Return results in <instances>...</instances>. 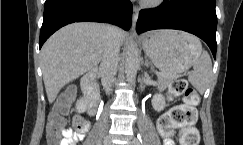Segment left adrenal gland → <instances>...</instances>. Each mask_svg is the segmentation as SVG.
Instances as JSON below:
<instances>
[{"mask_svg": "<svg viewBox=\"0 0 243 145\" xmlns=\"http://www.w3.org/2000/svg\"><path fill=\"white\" fill-rule=\"evenodd\" d=\"M144 66H145V67H150L151 72L153 71V67H152V65L149 63V61H148V59H147V58H145V63H144Z\"/></svg>", "mask_w": 243, "mask_h": 145, "instance_id": "obj_1", "label": "left adrenal gland"}]
</instances>
